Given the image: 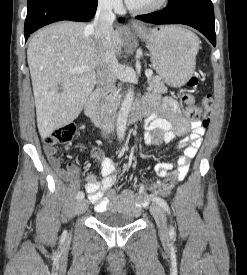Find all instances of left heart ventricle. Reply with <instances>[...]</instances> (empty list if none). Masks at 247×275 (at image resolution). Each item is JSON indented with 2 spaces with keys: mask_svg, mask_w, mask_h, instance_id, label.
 I'll list each match as a JSON object with an SVG mask.
<instances>
[{
  "mask_svg": "<svg viewBox=\"0 0 247 275\" xmlns=\"http://www.w3.org/2000/svg\"><path fill=\"white\" fill-rule=\"evenodd\" d=\"M159 1L160 0H129L130 4L136 8L149 7Z\"/></svg>",
  "mask_w": 247,
  "mask_h": 275,
  "instance_id": "1",
  "label": "left heart ventricle"
}]
</instances>
